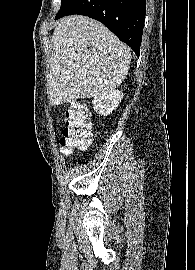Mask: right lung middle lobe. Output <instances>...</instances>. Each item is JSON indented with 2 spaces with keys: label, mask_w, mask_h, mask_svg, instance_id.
I'll return each mask as SVG.
<instances>
[{
  "label": "right lung middle lobe",
  "mask_w": 195,
  "mask_h": 270,
  "mask_svg": "<svg viewBox=\"0 0 195 270\" xmlns=\"http://www.w3.org/2000/svg\"><path fill=\"white\" fill-rule=\"evenodd\" d=\"M75 0H61V8L58 14L66 11Z\"/></svg>",
  "instance_id": "dd1d6c3e"
}]
</instances>
